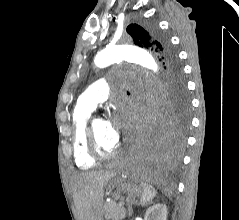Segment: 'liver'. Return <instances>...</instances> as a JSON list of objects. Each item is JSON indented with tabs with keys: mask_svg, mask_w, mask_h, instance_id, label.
<instances>
[{
	"mask_svg": "<svg viewBox=\"0 0 239 220\" xmlns=\"http://www.w3.org/2000/svg\"><path fill=\"white\" fill-rule=\"evenodd\" d=\"M116 176L113 170L81 173L72 180L74 203L79 220H100L104 188Z\"/></svg>",
	"mask_w": 239,
	"mask_h": 220,
	"instance_id": "1",
	"label": "liver"
}]
</instances>
